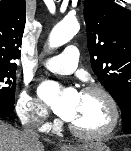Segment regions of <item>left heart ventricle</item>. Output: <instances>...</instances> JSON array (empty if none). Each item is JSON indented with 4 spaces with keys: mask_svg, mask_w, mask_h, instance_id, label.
I'll return each instance as SVG.
<instances>
[{
    "mask_svg": "<svg viewBox=\"0 0 131 151\" xmlns=\"http://www.w3.org/2000/svg\"><path fill=\"white\" fill-rule=\"evenodd\" d=\"M110 122V110L106 101L97 94H80L76 114L70 121L83 131H99Z\"/></svg>",
    "mask_w": 131,
    "mask_h": 151,
    "instance_id": "1",
    "label": "left heart ventricle"
}]
</instances>
